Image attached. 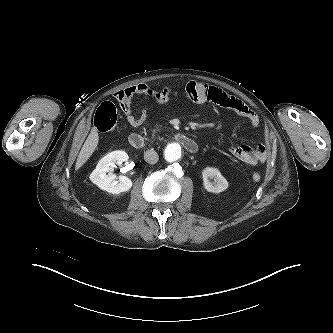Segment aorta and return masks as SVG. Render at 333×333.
<instances>
[{"label":"aorta","instance_id":"762f6f07","mask_svg":"<svg viewBox=\"0 0 333 333\" xmlns=\"http://www.w3.org/2000/svg\"><path fill=\"white\" fill-rule=\"evenodd\" d=\"M165 159L169 162L177 161L182 156V149L179 143H170L164 151Z\"/></svg>","mask_w":333,"mask_h":333}]
</instances>
